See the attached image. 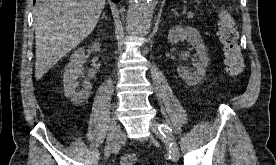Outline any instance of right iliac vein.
Segmentation results:
<instances>
[{
	"label": "right iliac vein",
	"mask_w": 276,
	"mask_h": 165,
	"mask_svg": "<svg viewBox=\"0 0 276 165\" xmlns=\"http://www.w3.org/2000/svg\"><path fill=\"white\" fill-rule=\"evenodd\" d=\"M120 127L117 124L116 118L112 117L109 123V132L107 135L105 157H108L111 152L115 151L118 147L117 140L120 139Z\"/></svg>",
	"instance_id": "63e3f726"
}]
</instances>
